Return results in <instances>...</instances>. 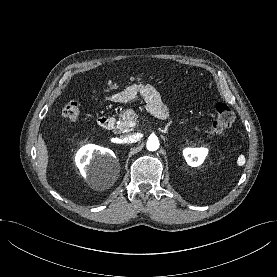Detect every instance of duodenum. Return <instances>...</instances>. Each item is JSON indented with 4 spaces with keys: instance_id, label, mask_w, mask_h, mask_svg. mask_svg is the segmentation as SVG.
<instances>
[{
    "instance_id": "duodenum-1",
    "label": "duodenum",
    "mask_w": 277,
    "mask_h": 277,
    "mask_svg": "<svg viewBox=\"0 0 277 277\" xmlns=\"http://www.w3.org/2000/svg\"><path fill=\"white\" fill-rule=\"evenodd\" d=\"M98 124L101 128L106 129V130H110L113 125V119L110 117H106V116H102L98 119Z\"/></svg>"
}]
</instances>
